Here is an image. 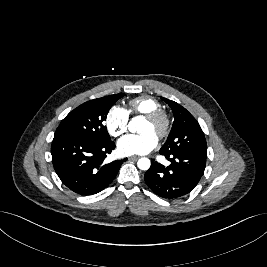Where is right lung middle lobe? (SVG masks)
<instances>
[{"label": "right lung middle lobe", "instance_id": "1", "mask_svg": "<svg viewBox=\"0 0 267 267\" xmlns=\"http://www.w3.org/2000/svg\"><path fill=\"white\" fill-rule=\"evenodd\" d=\"M124 95L123 93L109 95L81 104L62 120L54 138L95 142L110 140L103 122L113 104Z\"/></svg>", "mask_w": 267, "mask_h": 267}]
</instances>
